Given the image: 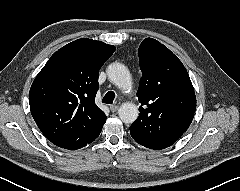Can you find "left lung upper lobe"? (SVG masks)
<instances>
[{
    "label": "left lung upper lobe",
    "instance_id": "obj_1",
    "mask_svg": "<svg viewBox=\"0 0 240 191\" xmlns=\"http://www.w3.org/2000/svg\"><path fill=\"white\" fill-rule=\"evenodd\" d=\"M138 55L142 77L137 96L146 106H140L139 117L131 127L137 126L139 134L149 138L155 128L160 130L161 140L177 141L196 111L195 92L187 70L167 47L152 38L142 41Z\"/></svg>",
    "mask_w": 240,
    "mask_h": 191
}]
</instances>
